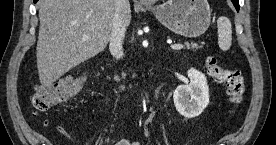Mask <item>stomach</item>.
Listing matches in <instances>:
<instances>
[{"label": "stomach", "mask_w": 276, "mask_h": 145, "mask_svg": "<svg viewBox=\"0 0 276 145\" xmlns=\"http://www.w3.org/2000/svg\"><path fill=\"white\" fill-rule=\"evenodd\" d=\"M149 9L165 27L190 38L202 35L211 21L207 0H168Z\"/></svg>", "instance_id": "stomach-1"}]
</instances>
